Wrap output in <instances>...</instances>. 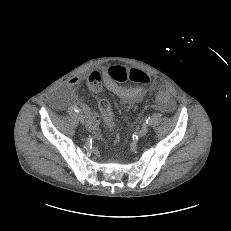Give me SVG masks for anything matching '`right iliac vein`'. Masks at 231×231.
<instances>
[{"mask_svg": "<svg viewBox=\"0 0 231 231\" xmlns=\"http://www.w3.org/2000/svg\"><path fill=\"white\" fill-rule=\"evenodd\" d=\"M77 118L82 125L85 124V118L82 114H77Z\"/></svg>", "mask_w": 231, "mask_h": 231, "instance_id": "right-iliac-vein-1", "label": "right iliac vein"}]
</instances>
